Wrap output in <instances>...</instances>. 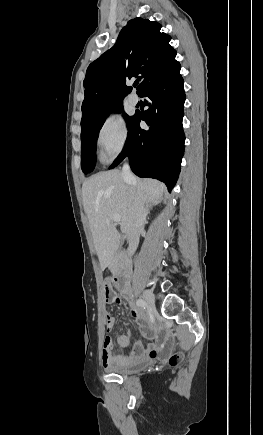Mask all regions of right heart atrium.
<instances>
[{"label":"right heart atrium","instance_id":"obj_1","mask_svg":"<svg viewBox=\"0 0 263 435\" xmlns=\"http://www.w3.org/2000/svg\"><path fill=\"white\" fill-rule=\"evenodd\" d=\"M129 132L126 122L119 116H107L98 129L96 145L103 162L114 161L126 148Z\"/></svg>","mask_w":263,"mask_h":435}]
</instances>
